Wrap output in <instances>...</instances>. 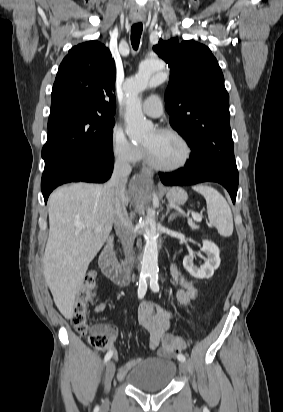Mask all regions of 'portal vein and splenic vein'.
Masks as SVG:
<instances>
[{
  "mask_svg": "<svg viewBox=\"0 0 283 412\" xmlns=\"http://www.w3.org/2000/svg\"><path fill=\"white\" fill-rule=\"evenodd\" d=\"M191 215H192V218H193L195 221L201 222L202 217H201L199 214L192 212ZM81 227H84V226H81ZM99 230H101V227H98V228L96 229V231H99Z\"/></svg>",
  "mask_w": 283,
  "mask_h": 412,
  "instance_id": "portal-vein-and-splenic-vein-1",
  "label": "portal vein and splenic vein"
}]
</instances>
